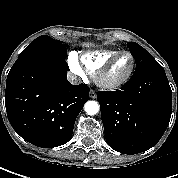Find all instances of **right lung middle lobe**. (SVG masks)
<instances>
[{
	"label": "right lung middle lobe",
	"instance_id": "right-lung-middle-lobe-1",
	"mask_svg": "<svg viewBox=\"0 0 178 178\" xmlns=\"http://www.w3.org/2000/svg\"><path fill=\"white\" fill-rule=\"evenodd\" d=\"M66 51V46L61 41L55 40L47 35H41L33 40L29 46L19 54L17 60H65Z\"/></svg>",
	"mask_w": 178,
	"mask_h": 178
}]
</instances>
